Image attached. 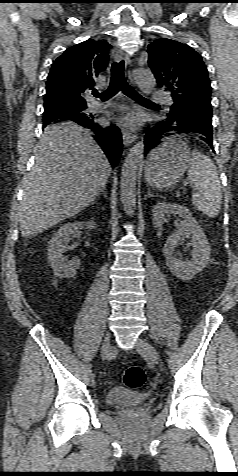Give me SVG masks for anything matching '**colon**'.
Segmentation results:
<instances>
[{"instance_id": "colon-1", "label": "colon", "mask_w": 238, "mask_h": 476, "mask_svg": "<svg viewBox=\"0 0 238 476\" xmlns=\"http://www.w3.org/2000/svg\"><path fill=\"white\" fill-rule=\"evenodd\" d=\"M146 380L145 371L139 366L127 367L122 373L123 383L130 388H140Z\"/></svg>"}]
</instances>
